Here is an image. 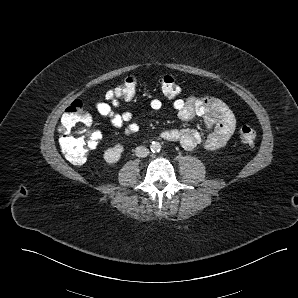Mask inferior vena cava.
<instances>
[{"label": "inferior vena cava", "mask_w": 298, "mask_h": 298, "mask_svg": "<svg viewBox=\"0 0 298 298\" xmlns=\"http://www.w3.org/2000/svg\"><path fill=\"white\" fill-rule=\"evenodd\" d=\"M135 154L137 157L144 158L149 155V149L145 146H138L135 149Z\"/></svg>", "instance_id": "obj_1"}]
</instances>
